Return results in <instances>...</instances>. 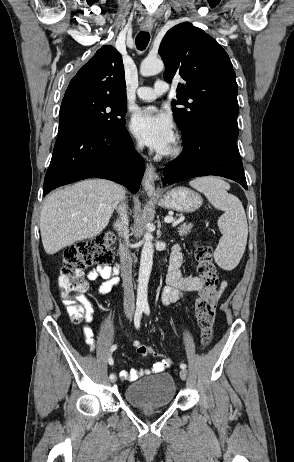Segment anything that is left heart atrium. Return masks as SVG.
<instances>
[{"label":"left heart atrium","mask_w":294,"mask_h":462,"mask_svg":"<svg viewBox=\"0 0 294 462\" xmlns=\"http://www.w3.org/2000/svg\"><path fill=\"white\" fill-rule=\"evenodd\" d=\"M130 129L148 147L160 154L167 153L175 142L171 118L155 107L137 110L130 120Z\"/></svg>","instance_id":"left-heart-atrium-1"}]
</instances>
